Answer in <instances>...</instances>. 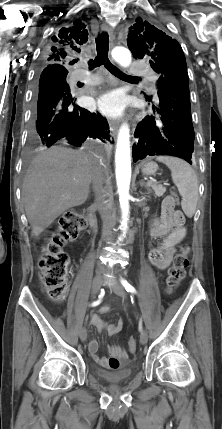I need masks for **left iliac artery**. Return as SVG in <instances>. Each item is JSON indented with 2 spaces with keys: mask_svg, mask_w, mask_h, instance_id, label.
I'll return each instance as SVG.
<instances>
[{
  "mask_svg": "<svg viewBox=\"0 0 222 429\" xmlns=\"http://www.w3.org/2000/svg\"><path fill=\"white\" fill-rule=\"evenodd\" d=\"M121 284L124 286L127 292L137 293L136 289L123 278H121Z\"/></svg>",
  "mask_w": 222,
  "mask_h": 429,
  "instance_id": "left-iliac-artery-1",
  "label": "left iliac artery"
}]
</instances>
